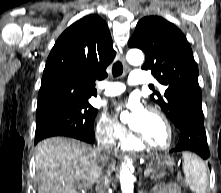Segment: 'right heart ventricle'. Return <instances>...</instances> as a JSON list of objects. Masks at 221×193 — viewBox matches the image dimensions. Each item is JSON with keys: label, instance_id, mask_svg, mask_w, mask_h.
<instances>
[{"label": "right heart ventricle", "instance_id": "e07e8e85", "mask_svg": "<svg viewBox=\"0 0 221 193\" xmlns=\"http://www.w3.org/2000/svg\"><path fill=\"white\" fill-rule=\"evenodd\" d=\"M123 149H140L141 145L137 141L127 140L121 144Z\"/></svg>", "mask_w": 221, "mask_h": 193}]
</instances>
